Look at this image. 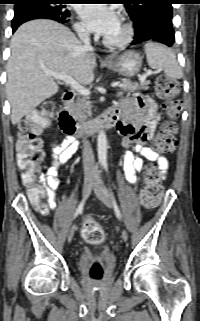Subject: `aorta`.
Returning <instances> with one entry per match:
<instances>
[{
  "label": "aorta",
  "mask_w": 200,
  "mask_h": 321,
  "mask_svg": "<svg viewBox=\"0 0 200 321\" xmlns=\"http://www.w3.org/2000/svg\"><path fill=\"white\" fill-rule=\"evenodd\" d=\"M98 160L100 163H106L107 160V137L104 130H101L97 137Z\"/></svg>",
  "instance_id": "obj_1"
}]
</instances>
